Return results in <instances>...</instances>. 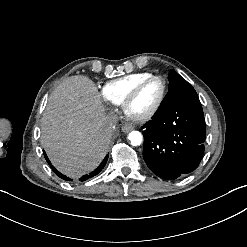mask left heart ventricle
<instances>
[{
	"label": "left heart ventricle",
	"instance_id": "b2bd125f",
	"mask_svg": "<svg viewBox=\"0 0 247 247\" xmlns=\"http://www.w3.org/2000/svg\"><path fill=\"white\" fill-rule=\"evenodd\" d=\"M162 94V84L158 80L147 81L139 90L135 100L129 105L128 113L137 117L151 111Z\"/></svg>",
	"mask_w": 247,
	"mask_h": 247
}]
</instances>
